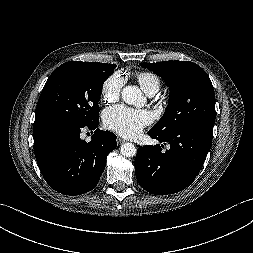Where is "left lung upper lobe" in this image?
I'll list each match as a JSON object with an SVG mask.
<instances>
[{"label":"left lung upper lobe","mask_w":253,"mask_h":253,"mask_svg":"<svg viewBox=\"0 0 253 253\" xmlns=\"http://www.w3.org/2000/svg\"><path fill=\"white\" fill-rule=\"evenodd\" d=\"M162 77L170 89L163 117L151 128L161 135L171 134L182 125L215 122V94L207 73L188 61L140 63Z\"/></svg>","instance_id":"left-lung-upper-lobe-1"}]
</instances>
